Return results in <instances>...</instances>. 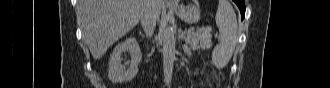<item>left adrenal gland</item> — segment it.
<instances>
[{
    "instance_id": "a2214340",
    "label": "left adrenal gland",
    "mask_w": 330,
    "mask_h": 88,
    "mask_svg": "<svg viewBox=\"0 0 330 88\" xmlns=\"http://www.w3.org/2000/svg\"><path fill=\"white\" fill-rule=\"evenodd\" d=\"M183 50L186 54H188V55L190 54L189 50L186 47H184Z\"/></svg>"
}]
</instances>
